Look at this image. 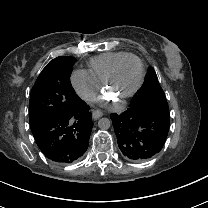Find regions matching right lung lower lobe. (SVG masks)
I'll list each match as a JSON object with an SVG mask.
<instances>
[{
	"label": "right lung lower lobe",
	"instance_id": "right-lung-lower-lobe-1",
	"mask_svg": "<svg viewBox=\"0 0 208 208\" xmlns=\"http://www.w3.org/2000/svg\"><path fill=\"white\" fill-rule=\"evenodd\" d=\"M89 109L81 100L79 108L70 114L30 123L34 139L48 159L69 164L85 153L93 127Z\"/></svg>",
	"mask_w": 208,
	"mask_h": 208
}]
</instances>
